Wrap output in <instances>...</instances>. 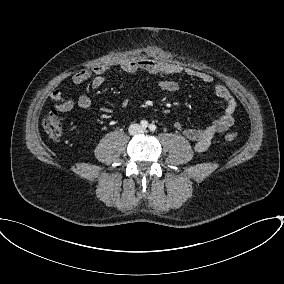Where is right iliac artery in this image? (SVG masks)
<instances>
[{
	"label": "right iliac artery",
	"mask_w": 284,
	"mask_h": 284,
	"mask_svg": "<svg viewBox=\"0 0 284 284\" xmlns=\"http://www.w3.org/2000/svg\"><path fill=\"white\" fill-rule=\"evenodd\" d=\"M141 126H142L143 128H147V127H148V122H147L146 120H142V121H141Z\"/></svg>",
	"instance_id": "1"
}]
</instances>
